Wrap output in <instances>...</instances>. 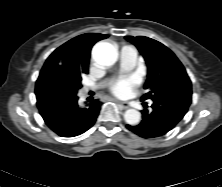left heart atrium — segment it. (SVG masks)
Instances as JSON below:
<instances>
[{
	"instance_id": "39dd6f15",
	"label": "left heart atrium",
	"mask_w": 222,
	"mask_h": 187,
	"mask_svg": "<svg viewBox=\"0 0 222 187\" xmlns=\"http://www.w3.org/2000/svg\"><path fill=\"white\" fill-rule=\"evenodd\" d=\"M137 84L138 81L134 77L122 78L113 84L111 91L119 97H128Z\"/></svg>"
}]
</instances>
